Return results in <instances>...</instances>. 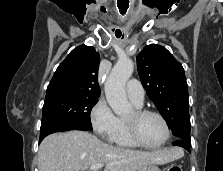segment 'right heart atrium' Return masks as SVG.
<instances>
[{
  "label": "right heart atrium",
  "mask_w": 223,
  "mask_h": 171,
  "mask_svg": "<svg viewBox=\"0 0 223 171\" xmlns=\"http://www.w3.org/2000/svg\"><path fill=\"white\" fill-rule=\"evenodd\" d=\"M90 123L97 136L110 141L118 129L119 119L107 102L104 99H99L90 111Z\"/></svg>",
  "instance_id": "obj_1"
}]
</instances>
